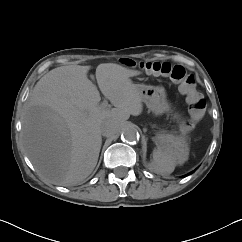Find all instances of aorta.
<instances>
[{"label":"aorta","mask_w":242,"mask_h":242,"mask_svg":"<svg viewBox=\"0 0 242 242\" xmlns=\"http://www.w3.org/2000/svg\"><path fill=\"white\" fill-rule=\"evenodd\" d=\"M139 133L134 125H128L122 132V138L127 142H136L139 139Z\"/></svg>","instance_id":"obj_1"}]
</instances>
